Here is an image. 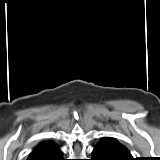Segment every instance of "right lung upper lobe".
<instances>
[{
	"label": "right lung upper lobe",
	"instance_id": "cb5924a9",
	"mask_svg": "<svg viewBox=\"0 0 160 160\" xmlns=\"http://www.w3.org/2000/svg\"><path fill=\"white\" fill-rule=\"evenodd\" d=\"M56 147V144L53 141L47 140L39 143L30 153L28 160H31L32 158L41 155L51 149Z\"/></svg>",
	"mask_w": 160,
	"mask_h": 160
}]
</instances>
